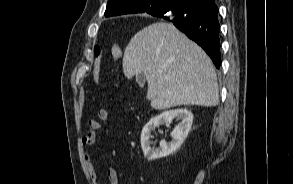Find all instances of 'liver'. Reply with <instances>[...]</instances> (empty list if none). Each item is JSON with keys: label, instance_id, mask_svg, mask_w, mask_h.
<instances>
[{"label": "liver", "instance_id": "obj_1", "mask_svg": "<svg viewBox=\"0 0 293 184\" xmlns=\"http://www.w3.org/2000/svg\"><path fill=\"white\" fill-rule=\"evenodd\" d=\"M122 65L128 79L144 73L146 98L154 109L211 107L219 102L211 59L172 24L157 22L136 33L124 51Z\"/></svg>", "mask_w": 293, "mask_h": 184}]
</instances>
